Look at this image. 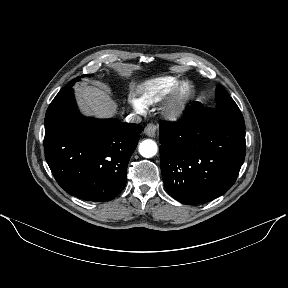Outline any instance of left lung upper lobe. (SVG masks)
Returning a JSON list of instances; mask_svg holds the SVG:
<instances>
[{"label": "left lung upper lobe", "instance_id": "5c2ea615", "mask_svg": "<svg viewBox=\"0 0 288 288\" xmlns=\"http://www.w3.org/2000/svg\"><path fill=\"white\" fill-rule=\"evenodd\" d=\"M216 103V108L207 109L209 117L245 129L240 109L223 86L216 89Z\"/></svg>", "mask_w": 288, "mask_h": 288}]
</instances>
